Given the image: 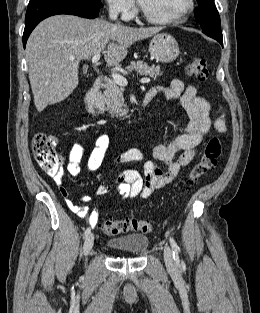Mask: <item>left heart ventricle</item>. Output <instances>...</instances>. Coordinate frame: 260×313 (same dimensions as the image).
Here are the masks:
<instances>
[{"mask_svg": "<svg viewBox=\"0 0 260 313\" xmlns=\"http://www.w3.org/2000/svg\"><path fill=\"white\" fill-rule=\"evenodd\" d=\"M141 5L155 17H171L186 6L187 0H139Z\"/></svg>", "mask_w": 260, "mask_h": 313, "instance_id": "b2bd125f", "label": "left heart ventricle"}]
</instances>
